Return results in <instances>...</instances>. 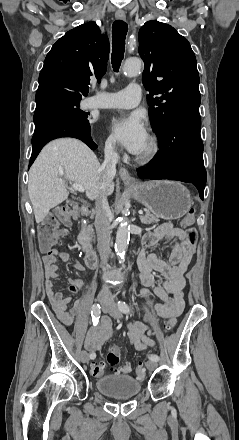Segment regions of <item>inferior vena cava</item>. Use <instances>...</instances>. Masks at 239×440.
I'll list each match as a JSON object with an SVG mask.
<instances>
[{
  "label": "inferior vena cava",
  "mask_w": 239,
  "mask_h": 440,
  "mask_svg": "<svg viewBox=\"0 0 239 440\" xmlns=\"http://www.w3.org/2000/svg\"><path fill=\"white\" fill-rule=\"evenodd\" d=\"M104 162L99 168L101 174V190H106L107 186L111 184L115 174H116V164L119 160L117 154V148L114 138H108L105 142L104 150ZM96 218H95V228L98 238V252L100 254L101 262L103 264V270H108L109 266L107 264L110 252V218L111 210L109 208L108 200L104 194L98 196L95 202ZM101 307H116L109 286H103L102 288Z\"/></svg>",
  "instance_id": "1"
}]
</instances>
